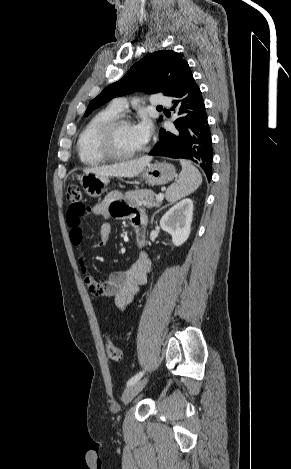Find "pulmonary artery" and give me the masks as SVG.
<instances>
[{
    "label": "pulmonary artery",
    "instance_id": "obj_1",
    "mask_svg": "<svg viewBox=\"0 0 291 469\" xmlns=\"http://www.w3.org/2000/svg\"><path fill=\"white\" fill-rule=\"evenodd\" d=\"M150 103L153 106H169L171 101L168 97L161 94H155L151 96ZM112 105L120 112L124 111L128 107L126 98L118 97L112 101Z\"/></svg>",
    "mask_w": 291,
    "mask_h": 469
}]
</instances>
